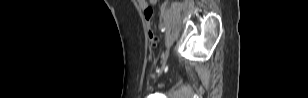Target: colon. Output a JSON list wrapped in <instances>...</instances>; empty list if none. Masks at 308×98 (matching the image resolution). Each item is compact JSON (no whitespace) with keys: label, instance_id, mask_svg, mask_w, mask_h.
I'll use <instances>...</instances> for the list:
<instances>
[{"label":"colon","instance_id":"colon-1","mask_svg":"<svg viewBox=\"0 0 308 98\" xmlns=\"http://www.w3.org/2000/svg\"><path fill=\"white\" fill-rule=\"evenodd\" d=\"M152 17H153L152 8L149 7V8L144 9V18L146 22L148 38H149L150 43L154 46L156 44L157 37L152 27Z\"/></svg>","mask_w":308,"mask_h":98}]
</instances>
